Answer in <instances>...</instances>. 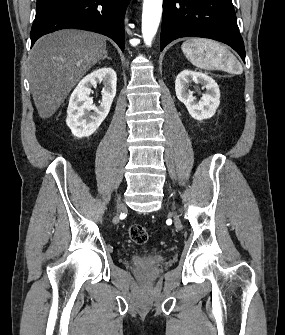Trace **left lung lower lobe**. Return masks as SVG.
<instances>
[{
  "mask_svg": "<svg viewBox=\"0 0 285 335\" xmlns=\"http://www.w3.org/2000/svg\"><path fill=\"white\" fill-rule=\"evenodd\" d=\"M181 37H203L231 46L245 62L232 0H164L160 49Z\"/></svg>",
  "mask_w": 285,
  "mask_h": 335,
  "instance_id": "0a47b994",
  "label": "left lung lower lobe"
}]
</instances>
